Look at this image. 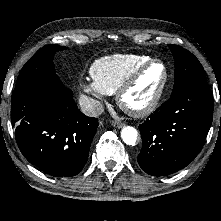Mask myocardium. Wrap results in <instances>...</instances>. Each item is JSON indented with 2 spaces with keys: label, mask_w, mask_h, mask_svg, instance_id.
I'll use <instances>...</instances> for the list:
<instances>
[{
  "label": "myocardium",
  "mask_w": 221,
  "mask_h": 221,
  "mask_svg": "<svg viewBox=\"0 0 221 221\" xmlns=\"http://www.w3.org/2000/svg\"><path fill=\"white\" fill-rule=\"evenodd\" d=\"M154 64H160L163 67L164 74L163 78L161 80V83L153 95V97L150 99L148 103L145 105L138 107V108H132L125 104L124 98L125 95L129 92V90L136 84V82L139 80L141 75L152 65ZM169 79V71L167 65L160 59L152 58L145 63L138 66L121 84V86L118 88L116 92V101L119 107L126 112L127 114L133 116V117H144L152 113L157 106L159 105L163 94L165 92L167 83Z\"/></svg>",
  "instance_id": "1"
}]
</instances>
